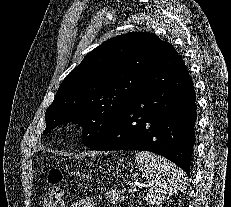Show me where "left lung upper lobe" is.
<instances>
[{"label": "left lung upper lobe", "mask_w": 231, "mask_h": 207, "mask_svg": "<svg viewBox=\"0 0 231 207\" xmlns=\"http://www.w3.org/2000/svg\"><path fill=\"white\" fill-rule=\"evenodd\" d=\"M171 46L152 33L135 32L89 52L62 81L46 110L44 134L59 124L78 123L84 145L94 146L145 90L146 78Z\"/></svg>", "instance_id": "5c2ea615"}]
</instances>
